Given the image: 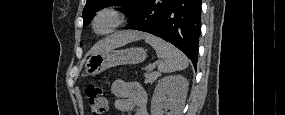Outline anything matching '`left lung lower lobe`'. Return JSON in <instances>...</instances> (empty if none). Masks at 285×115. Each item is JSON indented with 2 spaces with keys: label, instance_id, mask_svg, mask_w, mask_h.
<instances>
[{
  "label": "left lung lower lobe",
  "instance_id": "left-lung-lower-lobe-1",
  "mask_svg": "<svg viewBox=\"0 0 285 115\" xmlns=\"http://www.w3.org/2000/svg\"><path fill=\"white\" fill-rule=\"evenodd\" d=\"M127 29L158 36L182 50L196 67L201 33L200 0H141Z\"/></svg>",
  "mask_w": 285,
  "mask_h": 115
}]
</instances>
